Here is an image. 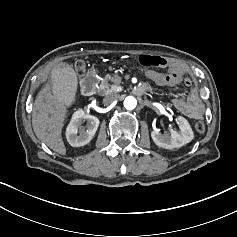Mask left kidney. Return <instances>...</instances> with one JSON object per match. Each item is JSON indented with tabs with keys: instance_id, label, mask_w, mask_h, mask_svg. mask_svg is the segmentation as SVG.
<instances>
[{
	"instance_id": "obj_1",
	"label": "left kidney",
	"mask_w": 237,
	"mask_h": 237,
	"mask_svg": "<svg viewBox=\"0 0 237 237\" xmlns=\"http://www.w3.org/2000/svg\"><path fill=\"white\" fill-rule=\"evenodd\" d=\"M177 120L180 127L179 132L172 130L170 133L162 134L158 130L151 131V138L158 147L175 149L193 140L194 133L189 122L181 116H178Z\"/></svg>"
}]
</instances>
